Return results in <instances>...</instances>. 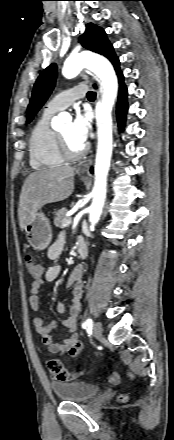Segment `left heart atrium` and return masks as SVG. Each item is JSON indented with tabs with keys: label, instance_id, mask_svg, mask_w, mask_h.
Returning a JSON list of instances; mask_svg holds the SVG:
<instances>
[{
	"label": "left heart atrium",
	"instance_id": "1",
	"mask_svg": "<svg viewBox=\"0 0 174 440\" xmlns=\"http://www.w3.org/2000/svg\"><path fill=\"white\" fill-rule=\"evenodd\" d=\"M91 130V118L87 111L78 110L75 114L74 120L71 124V137L82 147L85 145L86 140Z\"/></svg>",
	"mask_w": 174,
	"mask_h": 440
}]
</instances>
